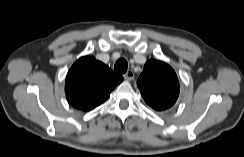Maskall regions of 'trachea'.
I'll return each instance as SVG.
<instances>
[{
    "instance_id": "trachea-1",
    "label": "trachea",
    "mask_w": 244,
    "mask_h": 157,
    "mask_svg": "<svg viewBox=\"0 0 244 157\" xmlns=\"http://www.w3.org/2000/svg\"><path fill=\"white\" fill-rule=\"evenodd\" d=\"M127 68L128 64L124 58L119 59L114 65V69L118 73H125L127 71Z\"/></svg>"
}]
</instances>
